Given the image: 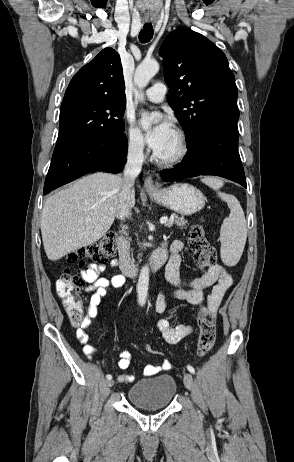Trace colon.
<instances>
[{
	"instance_id": "1",
	"label": "colon",
	"mask_w": 294,
	"mask_h": 462,
	"mask_svg": "<svg viewBox=\"0 0 294 462\" xmlns=\"http://www.w3.org/2000/svg\"><path fill=\"white\" fill-rule=\"evenodd\" d=\"M115 233L108 232L98 241L71 252L67 260L71 264L82 265L86 260L104 264L115 254ZM188 242L198 268L204 273L216 265V249L207 240L201 226H193L189 232ZM85 285L76 272L65 270L56 281V292L62 300L70 322L79 325L83 318V303L80 292ZM199 337L197 343L198 356H205L213 348L216 339V313L207 306H202L197 317ZM148 353L159 354L151 345H146Z\"/></svg>"
}]
</instances>
